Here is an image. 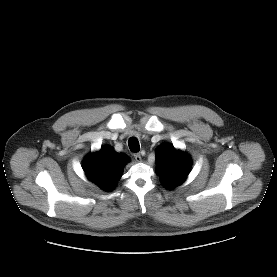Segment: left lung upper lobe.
Instances as JSON below:
<instances>
[{"label": "left lung upper lobe", "instance_id": "obj_1", "mask_svg": "<svg viewBox=\"0 0 277 277\" xmlns=\"http://www.w3.org/2000/svg\"><path fill=\"white\" fill-rule=\"evenodd\" d=\"M156 171L167 189L183 183L190 172L191 159L173 145L164 144L156 152Z\"/></svg>", "mask_w": 277, "mask_h": 277}]
</instances>
